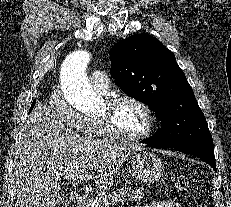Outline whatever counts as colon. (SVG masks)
<instances>
[{
	"mask_svg": "<svg viewBox=\"0 0 231 207\" xmlns=\"http://www.w3.org/2000/svg\"><path fill=\"white\" fill-rule=\"evenodd\" d=\"M174 181L176 188L180 192L189 193L191 191V181L187 176H177Z\"/></svg>",
	"mask_w": 231,
	"mask_h": 207,
	"instance_id": "5ec220e1",
	"label": "colon"
}]
</instances>
